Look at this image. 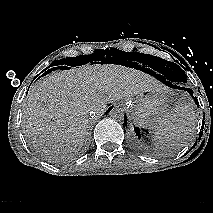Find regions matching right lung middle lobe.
<instances>
[{"mask_svg":"<svg viewBox=\"0 0 213 213\" xmlns=\"http://www.w3.org/2000/svg\"><path fill=\"white\" fill-rule=\"evenodd\" d=\"M120 53H122V51H120L116 48H110V49H106V50L98 49L91 55H82V56H77V57H73V58L56 60L51 64V66H61V65L77 66V65L86 63L88 57H92V59H97V58L106 59L108 57L114 59Z\"/></svg>","mask_w":213,"mask_h":213,"instance_id":"1","label":"right lung middle lobe"}]
</instances>
